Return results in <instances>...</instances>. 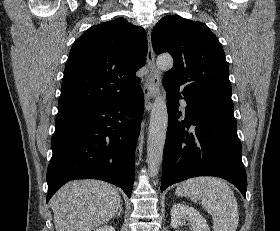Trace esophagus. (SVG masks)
I'll list each match as a JSON object with an SVG mask.
<instances>
[{"mask_svg": "<svg viewBox=\"0 0 280 231\" xmlns=\"http://www.w3.org/2000/svg\"><path fill=\"white\" fill-rule=\"evenodd\" d=\"M148 39V53H147V67L150 70V81L144 86L143 93L145 96V110L151 109V100L156 97L161 84V73L156 67L154 50L151 42V29L147 31Z\"/></svg>", "mask_w": 280, "mask_h": 231, "instance_id": "obj_1", "label": "esophagus"}]
</instances>
